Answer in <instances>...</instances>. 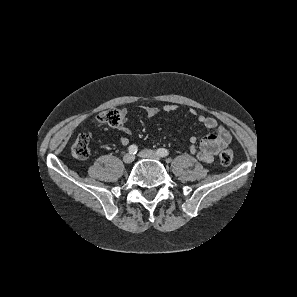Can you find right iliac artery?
Returning a JSON list of instances; mask_svg holds the SVG:
<instances>
[{
  "mask_svg": "<svg viewBox=\"0 0 297 297\" xmlns=\"http://www.w3.org/2000/svg\"><path fill=\"white\" fill-rule=\"evenodd\" d=\"M137 151H138V147L136 146V145H130L129 147H128V152L130 153V154H136L137 153Z\"/></svg>",
  "mask_w": 297,
  "mask_h": 297,
  "instance_id": "obj_1",
  "label": "right iliac artery"
}]
</instances>
